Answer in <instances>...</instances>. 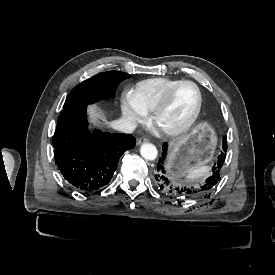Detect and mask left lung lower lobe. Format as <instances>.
Here are the masks:
<instances>
[{
    "instance_id": "left-lung-lower-lobe-1",
    "label": "left lung lower lobe",
    "mask_w": 275,
    "mask_h": 275,
    "mask_svg": "<svg viewBox=\"0 0 275 275\" xmlns=\"http://www.w3.org/2000/svg\"><path fill=\"white\" fill-rule=\"evenodd\" d=\"M162 148L163 154L162 157L159 158L157 167L155 169L154 178L156 185L164 194L177 197H194L204 195L209 193L220 180V168L222 167L225 159V155L223 153L220 155L217 165L212 167L210 176L206 178V180L203 183L193 184L190 186L177 185L168 178L165 170V161L167 158V144L164 143ZM226 150L227 143H225L224 145V151L226 152Z\"/></svg>"
}]
</instances>
